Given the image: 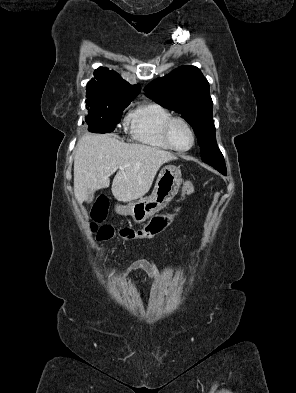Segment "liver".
Listing matches in <instances>:
<instances>
[{
	"label": "liver",
	"mask_w": 296,
	"mask_h": 393,
	"mask_svg": "<svg viewBox=\"0 0 296 393\" xmlns=\"http://www.w3.org/2000/svg\"><path fill=\"white\" fill-rule=\"evenodd\" d=\"M177 157L142 144H127L108 134H86L76 145L74 194L79 203L96 190L107 188L115 167H122L112 182V194L121 202L144 196L159 168Z\"/></svg>",
	"instance_id": "liver-1"
}]
</instances>
